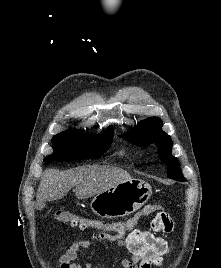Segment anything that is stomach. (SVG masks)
Wrapping results in <instances>:
<instances>
[{"label":"stomach","instance_id":"stomach-1","mask_svg":"<svg viewBox=\"0 0 221 268\" xmlns=\"http://www.w3.org/2000/svg\"><path fill=\"white\" fill-rule=\"evenodd\" d=\"M152 194L143 180L131 179L97 194L91 201L92 211L102 218L124 217L141 208Z\"/></svg>","mask_w":221,"mask_h":268}]
</instances>
